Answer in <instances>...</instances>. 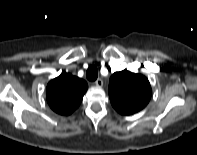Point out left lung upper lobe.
<instances>
[{
  "label": "left lung upper lobe",
  "instance_id": "left-lung-upper-lobe-1",
  "mask_svg": "<svg viewBox=\"0 0 197 155\" xmlns=\"http://www.w3.org/2000/svg\"><path fill=\"white\" fill-rule=\"evenodd\" d=\"M148 79L128 70L115 72L109 82V97L114 109L122 115L142 110L151 98Z\"/></svg>",
  "mask_w": 197,
  "mask_h": 155
}]
</instances>
